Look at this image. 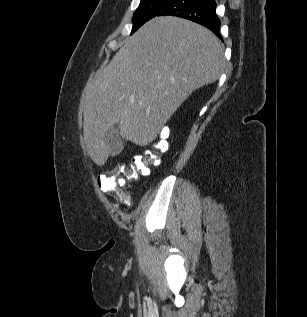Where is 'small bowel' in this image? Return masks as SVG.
Here are the masks:
<instances>
[{"mask_svg": "<svg viewBox=\"0 0 307 317\" xmlns=\"http://www.w3.org/2000/svg\"><path fill=\"white\" fill-rule=\"evenodd\" d=\"M129 200H130V197L127 195V198H126V200H125L124 202H125V203H128ZM112 206H113V208H115V209H117V207H118V205H117L116 203H113Z\"/></svg>", "mask_w": 307, "mask_h": 317, "instance_id": "c3829d8e", "label": "small bowel"}]
</instances>
